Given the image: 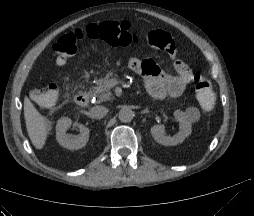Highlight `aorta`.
I'll return each mask as SVG.
<instances>
[{
    "instance_id": "aorta-1",
    "label": "aorta",
    "mask_w": 254,
    "mask_h": 216,
    "mask_svg": "<svg viewBox=\"0 0 254 216\" xmlns=\"http://www.w3.org/2000/svg\"><path fill=\"white\" fill-rule=\"evenodd\" d=\"M134 117V113L131 109L124 107L118 113V118L123 123L131 122Z\"/></svg>"
}]
</instances>
